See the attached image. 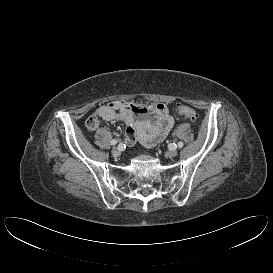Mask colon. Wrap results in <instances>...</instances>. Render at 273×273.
Returning a JSON list of instances; mask_svg holds the SVG:
<instances>
[{
    "label": "colon",
    "instance_id": "obj_1",
    "mask_svg": "<svg viewBox=\"0 0 273 273\" xmlns=\"http://www.w3.org/2000/svg\"><path fill=\"white\" fill-rule=\"evenodd\" d=\"M177 112L188 120H196L198 117V114L195 111V109L187 105H179L177 107Z\"/></svg>",
    "mask_w": 273,
    "mask_h": 273
}]
</instances>
